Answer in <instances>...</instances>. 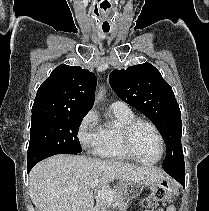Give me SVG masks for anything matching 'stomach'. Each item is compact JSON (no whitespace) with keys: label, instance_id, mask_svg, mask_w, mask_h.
Listing matches in <instances>:
<instances>
[{"label":"stomach","instance_id":"0dacf381","mask_svg":"<svg viewBox=\"0 0 209 211\" xmlns=\"http://www.w3.org/2000/svg\"><path fill=\"white\" fill-rule=\"evenodd\" d=\"M144 186L135 181H126L120 183V190L126 200H134L143 191Z\"/></svg>","mask_w":209,"mask_h":211}]
</instances>
